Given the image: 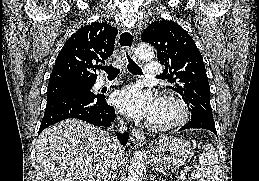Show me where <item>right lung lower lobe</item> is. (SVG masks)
Masks as SVG:
<instances>
[{"instance_id":"obj_1","label":"right lung lower lobe","mask_w":259,"mask_h":181,"mask_svg":"<svg viewBox=\"0 0 259 181\" xmlns=\"http://www.w3.org/2000/svg\"><path fill=\"white\" fill-rule=\"evenodd\" d=\"M68 118L81 119L95 126L107 128L111 126L116 115L114 108L106 103L104 95H66L47 103L38 134L48 126ZM115 134L122 145L127 143L128 133Z\"/></svg>"}]
</instances>
